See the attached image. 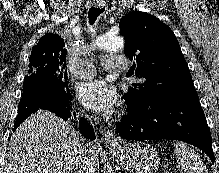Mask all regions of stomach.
Listing matches in <instances>:
<instances>
[{"mask_svg":"<svg viewBox=\"0 0 219 173\" xmlns=\"http://www.w3.org/2000/svg\"><path fill=\"white\" fill-rule=\"evenodd\" d=\"M110 150L128 173H153L159 165L158 153L145 142L120 143Z\"/></svg>","mask_w":219,"mask_h":173,"instance_id":"1","label":"stomach"}]
</instances>
